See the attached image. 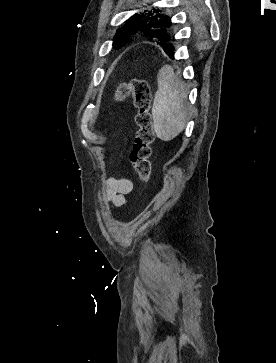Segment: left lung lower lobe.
<instances>
[{"label": "left lung lower lobe", "instance_id": "obj_1", "mask_svg": "<svg viewBox=\"0 0 276 363\" xmlns=\"http://www.w3.org/2000/svg\"><path fill=\"white\" fill-rule=\"evenodd\" d=\"M165 53L170 57L172 58L173 54H174V47L173 45L172 46H169L168 48H165Z\"/></svg>", "mask_w": 276, "mask_h": 363}]
</instances>
